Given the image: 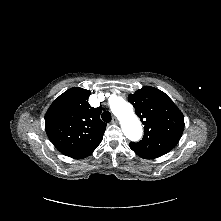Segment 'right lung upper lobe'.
Wrapping results in <instances>:
<instances>
[{
	"mask_svg": "<svg viewBox=\"0 0 221 221\" xmlns=\"http://www.w3.org/2000/svg\"><path fill=\"white\" fill-rule=\"evenodd\" d=\"M90 94L86 89L71 88L51 104L45 115L50 141L74 159L86 158L98 147L107 125L100 119L101 108L88 103Z\"/></svg>",
	"mask_w": 221,
	"mask_h": 221,
	"instance_id": "obj_1",
	"label": "right lung upper lobe"
}]
</instances>
